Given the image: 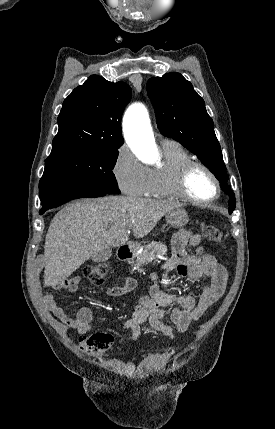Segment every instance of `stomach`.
<instances>
[{"label":"stomach","mask_w":275,"mask_h":429,"mask_svg":"<svg viewBox=\"0 0 275 429\" xmlns=\"http://www.w3.org/2000/svg\"><path fill=\"white\" fill-rule=\"evenodd\" d=\"M189 221L187 212L182 208H176L166 214V222L169 226L180 228Z\"/></svg>","instance_id":"obj_1"}]
</instances>
